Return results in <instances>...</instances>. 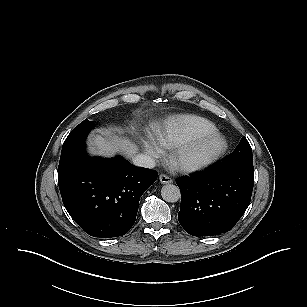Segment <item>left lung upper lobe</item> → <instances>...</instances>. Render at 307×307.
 I'll use <instances>...</instances> for the list:
<instances>
[{"label": "left lung upper lobe", "mask_w": 307, "mask_h": 307, "mask_svg": "<svg viewBox=\"0 0 307 307\" xmlns=\"http://www.w3.org/2000/svg\"><path fill=\"white\" fill-rule=\"evenodd\" d=\"M222 161L227 164L253 166L252 149L247 139L243 137L235 150Z\"/></svg>", "instance_id": "obj_1"}]
</instances>
